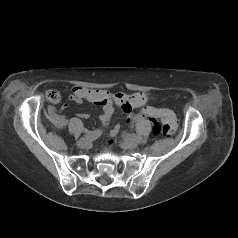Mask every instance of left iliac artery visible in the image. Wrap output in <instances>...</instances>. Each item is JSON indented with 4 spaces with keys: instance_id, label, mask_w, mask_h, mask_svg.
I'll list each match as a JSON object with an SVG mask.
<instances>
[{
    "instance_id": "44dca946",
    "label": "left iliac artery",
    "mask_w": 238,
    "mask_h": 238,
    "mask_svg": "<svg viewBox=\"0 0 238 238\" xmlns=\"http://www.w3.org/2000/svg\"><path fill=\"white\" fill-rule=\"evenodd\" d=\"M126 136H127L128 138H131V139L136 140V141H138V142L141 141V138L138 137V136L135 135V134L126 133Z\"/></svg>"
}]
</instances>
